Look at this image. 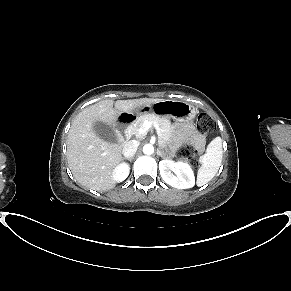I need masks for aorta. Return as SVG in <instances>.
Segmentation results:
<instances>
[{"label":"aorta","instance_id":"aorta-1","mask_svg":"<svg viewBox=\"0 0 291 291\" xmlns=\"http://www.w3.org/2000/svg\"><path fill=\"white\" fill-rule=\"evenodd\" d=\"M143 152H144V154H146V155H151V154H153V153H154V147H153V145H152V144H145V145L143 146Z\"/></svg>","mask_w":291,"mask_h":291}]
</instances>
